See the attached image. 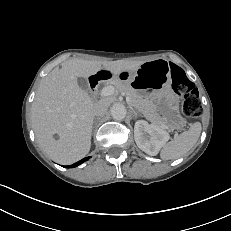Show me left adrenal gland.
Instances as JSON below:
<instances>
[{
    "instance_id": "1",
    "label": "left adrenal gland",
    "mask_w": 231,
    "mask_h": 231,
    "mask_svg": "<svg viewBox=\"0 0 231 231\" xmlns=\"http://www.w3.org/2000/svg\"><path fill=\"white\" fill-rule=\"evenodd\" d=\"M132 109V112L134 113V117L136 118L138 115H140L137 111H135L133 108H131ZM140 116H142V115H140Z\"/></svg>"
}]
</instances>
